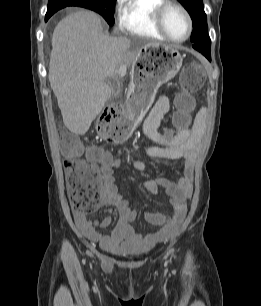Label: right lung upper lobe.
<instances>
[{"label": "right lung upper lobe", "instance_id": "cb5924a9", "mask_svg": "<svg viewBox=\"0 0 261 306\" xmlns=\"http://www.w3.org/2000/svg\"><path fill=\"white\" fill-rule=\"evenodd\" d=\"M48 1H55V0H48ZM65 1H75V0H65Z\"/></svg>", "mask_w": 261, "mask_h": 306}]
</instances>
